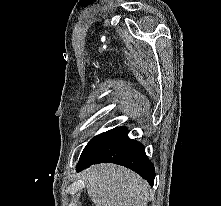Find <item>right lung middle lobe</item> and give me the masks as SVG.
<instances>
[{
	"label": "right lung middle lobe",
	"instance_id": "1",
	"mask_svg": "<svg viewBox=\"0 0 221 206\" xmlns=\"http://www.w3.org/2000/svg\"><path fill=\"white\" fill-rule=\"evenodd\" d=\"M103 134V133H102ZM102 134H99L97 136H95L94 138H92L89 143L87 144V146L84 148L83 152H82V155L84 154V152L91 146V144L96 140L98 139Z\"/></svg>",
	"mask_w": 221,
	"mask_h": 206
}]
</instances>
